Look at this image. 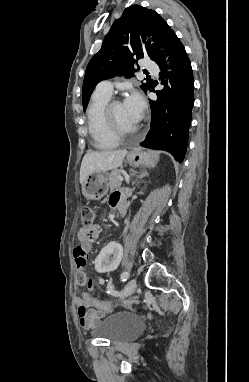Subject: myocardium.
Listing matches in <instances>:
<instances>
[{
  "mask_svg": "<svg viewBox=\"0 0 249 382\" xmlns=\"http://www.w3.org/2000/svg\"><path fill=\"white\" fill-rule=\"evenodd\" d=\"M119 100H111L107 103L104 109V121L108 131L117 139L129 137L135 135L139 131V127L137 126L132 131H125L121 129L115 122L113 117V107L116 104H120Z\"/></svg>",
  "mask_w": 249,
  "mask_h": 382,
  "instance_id": "obj_1",
  "label": "myocardium"
}]
</instances>
